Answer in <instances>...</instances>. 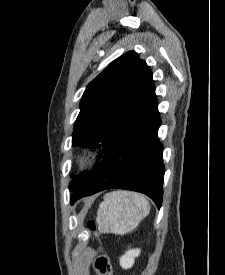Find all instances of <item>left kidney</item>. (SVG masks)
Instances as JSON below:
<instances>
[{
	"label": "left kidney",
	"mask_w": 225,
	"mask_h": 275,
	"mask_svg": "<svg viewBox=\"0 0 225 275\" xmlns=\"http://www.w3.org/2000/svg\"><path fill=\"white\" fill-rule=\"evenodd\" d=\"M140 249H132L127 251L120 258V265L123 269H129L134 265L135 258L140 255Z\"/></svg>",
	"instance_id": "obj_1"
}]
</instances>
